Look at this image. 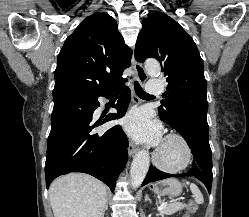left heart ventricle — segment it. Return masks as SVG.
<instances>
[{
    "label": "left heart ventricle",
    "instance_id": "b2bd125f",
    "mask_svg": "<svg viewBox=\"0 0 249 217\" xmlns=\"http://www.w3.org/2000/svg\"><path fill=\"white\" fill-rule=\"evenodd\" d=\"M162 158L168 163H174L181 157V149L174 142H167L161 149Z\"/></svg>",
    "mask_w": 249,
    "mask_h": 217
}]
</instances>
